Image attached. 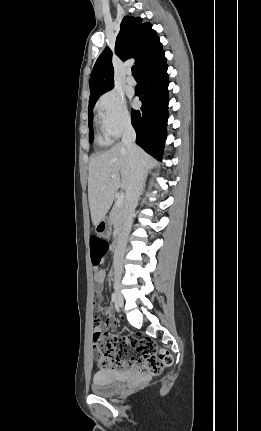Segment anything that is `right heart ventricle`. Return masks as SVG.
<instances>
[{"label":"right heart ventricle","mask_w":261,"mask_h":431,"mask_svg":"<svg viewBox=\"0 0 261 431\" xmlns=\"http://www.w3.org/2000/svg\"><path fill=\"white\" fill-rule=\"evenodd\" d=\"M100 143L101 144H109L110 143V139L107 135H105L103 138L100 139Z\"/></svg>","instance_id":"1"}]
</instances>
